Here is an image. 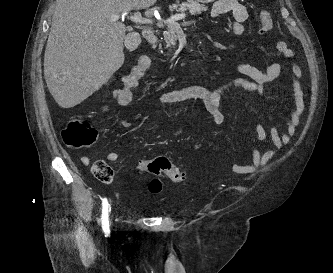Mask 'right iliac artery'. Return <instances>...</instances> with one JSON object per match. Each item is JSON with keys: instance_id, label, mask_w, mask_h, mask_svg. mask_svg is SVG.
Segmentation results:
<instances>
[{"instance_id": "1", "label": "right iliac artery", "mask_w": 333, "mask_h": 273, "mask_svg": "<svg viewBox=\"0 0 333 273\" xmlns=\"http://www.w3.org/2000/svg\"><path fill=\"white\" fill-rule=\"evenodd\" d=\"M108 208L109 204L106 198L102 200V216H101V221H102V229L103 232L105 233V236H109L110 234V229H109V218H108Z\"/></svg>"}]
</instances>
